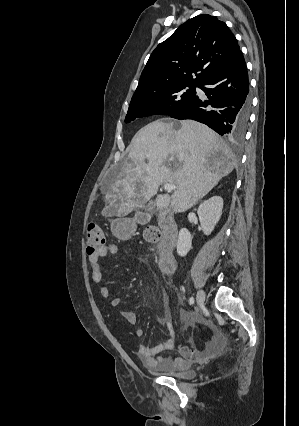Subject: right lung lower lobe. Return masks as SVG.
<instances>
[{
	"instance_id": "right-lung-lower-lobe-1",
	"label": "right lung lower lobe",
	"mask_w": 299,
	"mask_h": 426,
	"mask_svg": "<svg viewBox=\"0 0 299 426\" xmlns=\"http://www.w3.org/2000/svg\"><path fill=\"white\" fill-rule=\"evenodd\" d=\"M198 87L209 100L195 95L171 117L193 119L220 135L241 138L251 109L248 73L242 52L229 65L209 75Z\"/></svg>"
}]
</instances>
